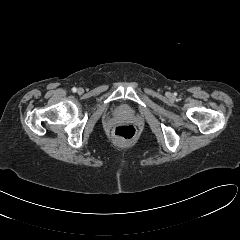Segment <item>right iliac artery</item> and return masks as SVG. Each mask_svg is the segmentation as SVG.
Wrapping results in <instances>:
<instances>
[{
  "label": "right iliac artery",
  "instance_id": "obj_1",
  "mask_svg": "<svg viewBox=\"0 0 240 240\" xmlns=\"http://www.w3.org/2000/svg\"><path fill=\"white\" fill-rule=\"evenodd\" d=\"M76 91H77V88H76V87H73V88H72V92L75 93Z\"/></svg>",
  "mask_w": 240,
  "mask_h": 240
}]
</instances>
